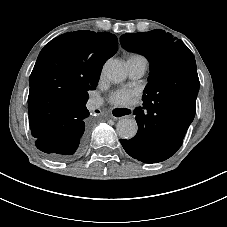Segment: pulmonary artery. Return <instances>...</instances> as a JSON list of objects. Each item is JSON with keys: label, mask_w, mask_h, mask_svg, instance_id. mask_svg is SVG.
<instances>
[{"label": "pulmonary artery", "mask_w": 227, "mask_h": 227, "mask_svg": "<svg viewBox=\"0 0 227 227\" xmlns=\"http://www.w3.org/2000/svg\"><path fill=\"white\" fill-rule=\"evenodd\" d=\"M128 74L132 79L141 78L147 68V64L144 62H135V61H127ZM103 103V99L100 97L94 98L90 100V106L92 108H97L101 106Z\"/></svg>", "instance_id": "obj_1"}]
</instances>
